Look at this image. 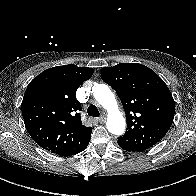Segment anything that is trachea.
Masks as SVG:
<instances>
[{
	"mask_svg": "<svg viewBox=\"0 0 196 196\" xmlns=\"http://www.w3.org/2000/svg\"><path fill=\"white\" fill-rule=\"evenodd\" d=\"M87 113L91 117H99L100 113L95 105H90L87 109Z\"/></svg>",
	"mask_w": 196,
	"mask_h": 196,
	"instance_id": "obj_1",
	"label": "trachea"
}]
</instances>
